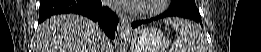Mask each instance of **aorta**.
<instances>
[{
    "label": "aorta",
    "instance_id": "762f6f07",
    "mask_svg": "<svg viewBox=\"0 0 261 52\" xmlns=\"http://www.w3.org/2000/svg\"><path fill=\"white\" fill-rule=\"evenodd\" d=\"M119 51L122 52V48L121 47L119 48Z\"/></svg>",
    "mask_w": 261,
    "mask_h": 52
}]
</instances>
